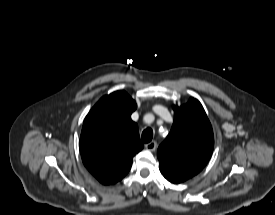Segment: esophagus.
<instances>
[{
    "instance_id": "1",
    "label": "esophagus",
    "mask_w": 275,
    "mask_h": 215,
    "mask_svg": "<svg viewBox=\"0 0 275 215\" xmlns=\"http://www.w3.org/2000/svg\"><path fill=\"white\" fill-rule=\"evenodd\" d=\"M145 148L149 151H155L157 148V143L155 141H151L145 145Z\"/></svg>"
}]
</instances>
